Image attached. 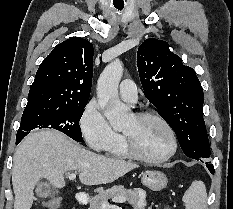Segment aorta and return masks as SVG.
Returning <instances> with one entry per match:
<instances>
[{"instance_id": "aorta-1", "label": "aorta", "mask_w": 233, "mask_h": 209, "mask_svg": "<svg viewBox=\"0 0 233 209\" xmlns=\"http://www.w3.org/2000/svg\"><path fill=\"white\" fill-rule=\"evenodd\" d=\"M122 74L121 61L114 60L102 71L97 83L99 104L115 130H122L132 117L129 108L121 103L118 96V86Z\"/></svg>"}]
</instances>
